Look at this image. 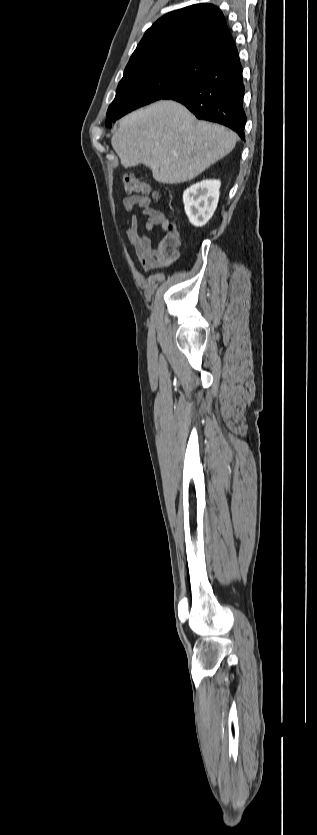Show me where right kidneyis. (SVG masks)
Returning a JSON list of instances; mask_svg holds the SVG:
<instances>
[{
    "label": "right kidney",
    "mask_w": 317,
    "mask_h": 835,
    "mask_svg": "<svg viewBox=\"0 0 317 835\" xmlns=\"http://www.w3.org/2000/svg\"><path fill=\"white\" fill-rule=\"evenodd\" d=\"M220 186L219 180H203L184 191V209L192 225L202 227L213 216L218 205Z\"/></svg>",
    "instance_id": "1"
}]
</instances>
